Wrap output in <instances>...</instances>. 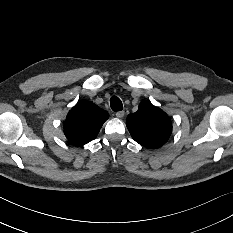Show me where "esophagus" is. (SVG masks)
I'll return each instance as SVG.
<instances>
[{"label":"esophagus","mask_w":233,"mask_h":233,"mask_svg":"<svg viewBox=\"0 0 233 233\" xmlns=\"http://www.w3.org/2000/svg\"><path fill=\"white\" fill-rule=\"evenodd\" d=\"M124 116V111H118L116 112V117L122 118Z\"/></svg>","instance_id":"34e87169"}]
</instances>
